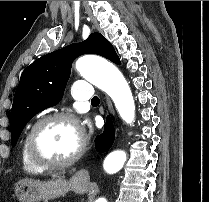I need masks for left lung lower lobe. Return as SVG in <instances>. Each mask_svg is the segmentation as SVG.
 Segmentation results:
<instances>
[{
    "instance_id": "left-lung-lower-lobe-1",
    "label": "left lung lower lobe",
    "mask_w": 209,
    "mask_h": 202,
    "mask_svg": "<svg viewBox=\"0 0 209 202\" xmlns=\"http://www.w3.org/2000/svg\"><path fill=\"white\" fill-rule=\"evenodd\" d=\"M115 138V130L111 119L108 117L105 124L104 132L95 139V146L97 151L105 152L113 144Z\"/></svg>"
}]
</instances>
